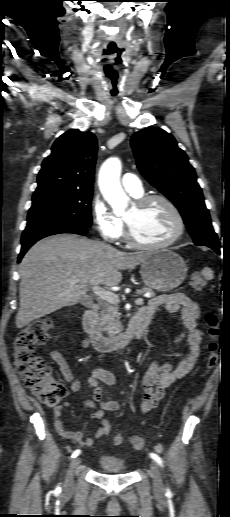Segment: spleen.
Segmentation results:
<instances>
[{
	"label": "spleen",
	"instance_id": "obj_1",
	"mask_svg": "<svg viewBox=\"0 0 230 517\" xmlns=\"http://www.w3.org/2000/svg\"><path fill=\"white\" fill-rule=\"evenodd\" d=\"M202 275L204 276L205 279L207 280H211L214 278V274H213V271L208 268V267H205L203 270H202Z\"/></svg>",
	"mask_w": 230,
	"mask_h": 517
}]
</instances>
